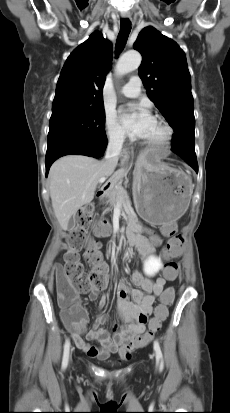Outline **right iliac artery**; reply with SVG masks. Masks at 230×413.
Masks as SVG:
<instances>
[{"label":"right iliac artery","instance_id":"82829eb1","mask_svg":"<svg viewBox=\"0 0 230 413\" xmlns=\"http://www.w3.org/2000/svg\"><path fill=\"white\" fill-rule=\"evenodd\" d=\"M69 349H70V341L67 339L64 344V353H63V360H62V369L64 370L68 365L69 359Z\"/></svg>","mask_w":230,"mask_h":413}]
</instances>
